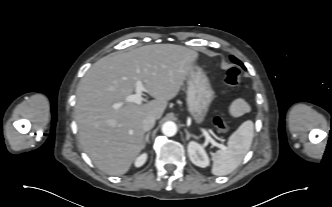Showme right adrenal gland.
Segmentation results:
<instances>
[{
	"instance_id": "1",
	"label": "right adrenal gland",
	"mask_w": 332,
	"mask_h": 207,
	"mask_svg": "<svg viewBox=\"0 0 332 207\" xmlns=\"http://www.w3.org/2000/svg\"><path fill=\"white\" fill-rule=\"evenodd\" d=\"M149 135H150V132L146 133V135H145V143H149Z\"/></svg>"
}]
</instances>
